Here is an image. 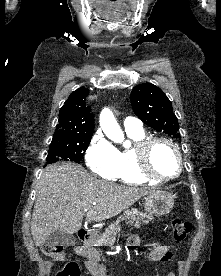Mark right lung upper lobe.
I'll list each match as a JSON object with an SVG mask.
<instances>
[{"label":"right lung upper lobe","instance_id":"cb5924a9","mask_svg":"<svg viewBox=\"0 0 221 276\" xmlns=\"http://www.w3.org/2000/svg\"><path fill=\"white\" fill-rule=\"evenodd\" d=\"M89 90L81 87L70 94L59 111V120L52 140L92 137L94 116L86 104Z\"/></svg>","mask_w":221,"mask_h":276}]
</instances>
